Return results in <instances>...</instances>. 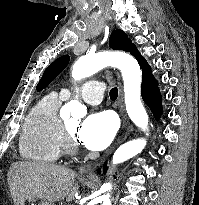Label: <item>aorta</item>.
I'll return each mask as SVG.
<instances>
[{"mask_svg": "<svg viewBox=\"0 0 199 205\" xmlns=\"http://www.w3.org/2000/svg\"><path fill=\"white\" fill-rule=\"evenodd\" d=\"M112 66L120 69L124 81V99L127 113L136 126L146 131L148 126V115L141 102V71L136 59L124 52H100L97 54H86L79 57L72 68V77L79 81L90 77L101 69ZM65 110L73 116H82L85 108L78 100L70 101ZM146 145V140L135 139L121 145L114 153L112 163H122L141 153ZM110 183H105L103 189L110 191ZM102 205H111L110 195L103 196Z\"/></svg>", "mask_w": 199, "mask_h": 205, "instance_id": "1", "label": "aorta"}]
</instances>
